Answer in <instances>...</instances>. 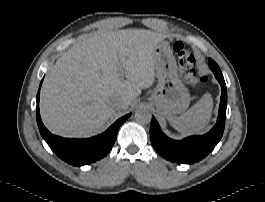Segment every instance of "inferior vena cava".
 <instances>
[{"mask_svg": "<svg viewBox=\"0 0 265 202\" xmlns=\"http://www.w3.org/2000/svg\"><path fill=\"white\" fill-rule=\"evenodd\" d=\"M111 103L115 108H119L121 105V97L115 96L111 99Z\"/></svg>", "mask_w": 265, "mask_h": 202, "instance_id": "602c4592", "label": "inferior vena cava"}]
</instances>
